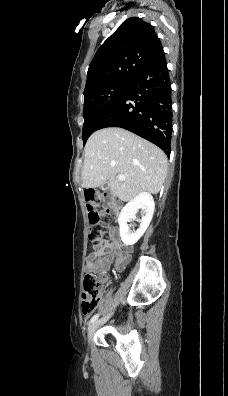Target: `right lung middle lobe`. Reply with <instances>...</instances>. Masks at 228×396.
<instances>
[{"mask_svg":"<svg viewBox=\"0 0 228 396\" xmlns=\"http://www.w3.org/2000/svg\"><path fill=\"white\" fill-rule=\"evenodd\" d=\"M129 86V82H116L84 93V125L82 133L84 144L89 136L97 130L101 120L120 101Z\"/></svg>","mask_w":228,"mask_h":396,"instance_id":"right-lung-middle-lobe-1","label":"right lung middle lobe"}]
</instances>
